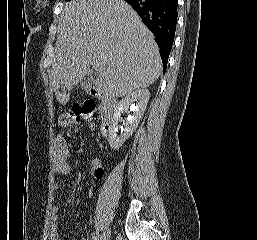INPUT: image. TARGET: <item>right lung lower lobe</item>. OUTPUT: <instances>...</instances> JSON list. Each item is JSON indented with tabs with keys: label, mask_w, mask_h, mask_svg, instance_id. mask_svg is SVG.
<instances>
[{
	"label": "right lung lower lobe",
	"mask_w": 257,
	"mask_h": 240,
	"mask_svg": "<svg viewBox=\"0 0 257 240\" xmlns=\"http://www.w3.org/2000/svg\"><path fill=\"white\" fill-rule=\"evenodd\" d=\"M139 14L157 39L164 70L174 41L177 24V0H125Z\"/></svg>",
	"instance_id": "98d812e1"
}]
</instances>
